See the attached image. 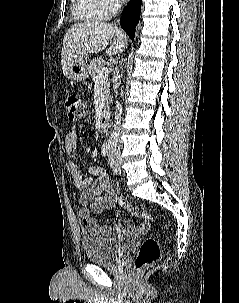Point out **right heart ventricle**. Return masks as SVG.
I'll return each mask as SVG.
<instances>
[{"label": "right heart ventricle", "instance_id": "e07e8e85", "mask_svg": "<svg viewBox=\"0 0 239 303\" xmlns=\"http://www.w3.org/2000/svg\"><path fill=\"white\" fill-rule=\"evenodd\" d=\"M73 15L82 21L101 20L95 12L90 0H73Z\"/></svg>", "mask_w": 239, "mask_h": 303}]
</instances>
